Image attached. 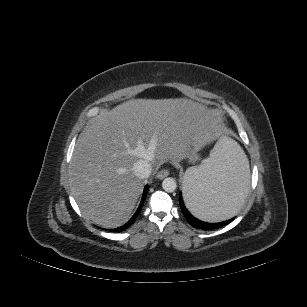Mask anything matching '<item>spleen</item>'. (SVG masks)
I'll return each instance as SVG.
<instances>
[{
	"label": "spleen",
	"mask_w": 307,
	"mask_h": 307,
	"mask_svg": "<svg viewBox=\"0 0 307 307\" xmlns=\"http://www.w3.org/2000/svg\"><path fill=\"white\" fill-rule=\"evenodd\" d=\"M187 208L197 218L218 222L243 210L249 200V164L233 140L215 141L198 167L184 176Z\"/></svg>",
	"instance_id": "1"
}]
</instances>
